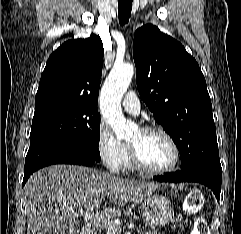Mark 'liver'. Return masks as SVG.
Returning a JSON list of instances; mask_svg holds the SVG:
<instances>
[{"instance_id":"obj_1","label":"liver","mask_w":241,"mask_h":234,"mask_svg":"<svg viewBox=\"0 0 241 234\" xmlns=\"http://www.w3.org/2000/svg\"><path fill=\"white\" fill-rule=\"evenodd\" d=\"M157 187L154 182L120 178L83 166L43 168L24 186L27 234H79L78 217L95 213L94 206H100L105 197L113 207L105 204L101 213L118 217L124 204L151 195Z\"/></svg>"}]
</instances>
